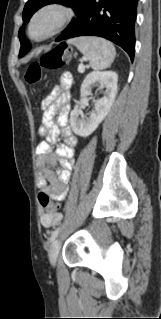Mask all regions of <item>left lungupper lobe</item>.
<instances>
[{"label": "left lung upper lobe", "mask_w": 161, "mask_h": 319, "mask_svg": "<svg viewBox=\"0 0 161 319\" xmlns=\"http://www.w3.org/2000/svg\"><path fill=\"white\" fill-rule=\"evenodd\" d=\"M90 0H28V2L25 4L24 10H23V21L24 24L27 23L31 16L41 7L47 4L51 3H61L63 5L69 6L73 8V10L77 14V18L73 19L70 24L67 27L66 32L61 34L56 41H60L63 39V37L75 26V24L81 19V17L84 15ZM19 39L21 42V49H20V55L23 53H26L30 50V43L29 41L24 37L23 28L19 31ZM26 45L29 46V49L26 50Z\"/></svg>", "instance_id": "obj_1"}]
</instances>
